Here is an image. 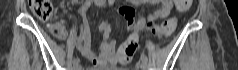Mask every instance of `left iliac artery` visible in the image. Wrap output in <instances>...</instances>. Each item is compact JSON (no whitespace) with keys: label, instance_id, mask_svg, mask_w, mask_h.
Returning a JSON list of instances; mask_svg holds the SVG:
<instances>
[{"label":"left iliac artery","instance_id":"obj_1","mask_svg":"<svg viewBox=\"0 0 238 70\" xmlns=\"http://www.w3.org/2000/svg\"><path fill=\"white\" fill-rule=\"evenodd\" d=\"M141 60H142L143 62H145V63L148 62V58H147V56H146L145 54H141Z\"/></svg>","mask_w":238,"mask_h":70}]
</instances>
